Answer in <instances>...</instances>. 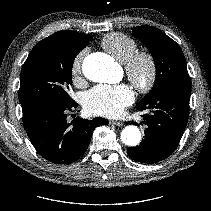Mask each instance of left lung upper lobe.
<instances>
[{
    "mask_svg": "<svg viewBox=\"0 0 211 211\" xmlns=\"http://www.w3.org/2000/svg\"><path fill=\"white\" fill-rule=\"evenodd\" d=\"M132 34L149 49L156 66L154 87L140 102L157 95L169 85L190 82L183 52L174 40L148 25L134 27Z\"/></svg>",
    "mask_w": 211,
    "mask_h": 211,
    "instance_id": "1",
    "label": "left lung upper lobe"
}]
</instances>
